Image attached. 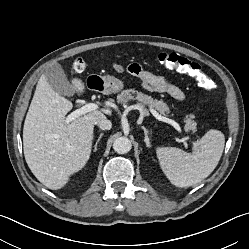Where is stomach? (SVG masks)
<instances>
[{"label": "stomach", "mask_w": 249, "mask_h": 249, "mask_svg": "<svg viewBox=\"0 0 249 249\" xmlns=\"http://www.w3.org/2000/svg\"><path fill=\"white\" fill-rule=\"evenodd\" d=\"M90 78L98 79V90L104 94L117 93L124 87V83L114 76H91Z\"/></svg>", "instance_id": "1"}]
</instances>
